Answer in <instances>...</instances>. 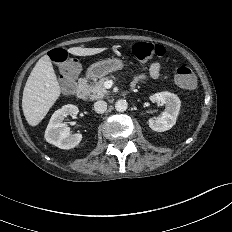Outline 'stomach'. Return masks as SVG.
<instances>
[{
  "instance_id": "0dacf381",
  "label": "stomach",
  "mask_w": 232,
  "mask_h": 232,
  "mask_svg": "<svg viewBox=\"0 0 232 232\" xmlns=\"http://www.w3.org/2000/svg\"><path fill=\"white\" fill-rule=\"evenodd\" d=\"M124 64L119 58H108L97 61L88 68V75L94 79L101 78L109 73L121 70Z\"/></svg>"
}]
</instances>
